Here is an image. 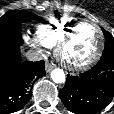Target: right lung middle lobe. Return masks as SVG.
Masks as SVG:
<instances>
[{
  "label": "right lung middle lobe",
  "instance_id": "1",
  "mask_svg": "<svg viewBox=\"0 0 114 114\" xmlns=\"http://www.w3.org/2000/svg\"><path fill=\"white\" fill-rule=\"evenodd\" d=\"M25 21V13L20 10H10L0 17V42L21 45V26Z\"/></svg>",
  "mask_w": 114,
  "mask_h": 114
}]
</instances>
